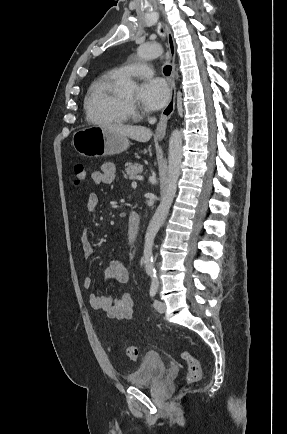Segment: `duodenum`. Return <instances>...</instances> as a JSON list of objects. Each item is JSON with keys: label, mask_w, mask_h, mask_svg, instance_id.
Listing matches in <instances>:
<instances>
[{"label": "duodenum", "mask_w": 287, "mask_h": 434, "mask_svg": "<svg viewBox=\"0 0 287 434\" xmlns=\"http://www.w3.org/2000/svg\"><path fill=\"white\" fill-rule=\"evenodd\" d=\"M140 218L137 212H130L127 224V235L130 241L134 242L139 234Z\"/></svg>", "instance_id": "1"}]
</instances>
